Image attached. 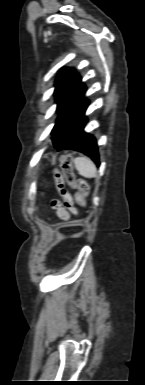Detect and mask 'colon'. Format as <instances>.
I'll use <instances>...</instances> for the list:
<instances>
[{
  "label": "colon",
  "instance_id": "colon-1",
  "mask_svg": "<svg viewBox=\"0 0 145 385\" xmlns=\"http://www.w3.org/2000/svg\"><path fill=\"white\" fill-rule=\"evenodd\" d=\"M60 163L61 171L54 169L53 178L58 192L64 201L66 209L76 215L78 210L74 206V202L82 208L86 207L88 186L85 181L75 176L71 156L69 154L61 155ZM67 187L75 191L74 197L69 192Z\"/></svg>",
  "mask_w": 145,
  "mask_h": 385
}]
</instances>
